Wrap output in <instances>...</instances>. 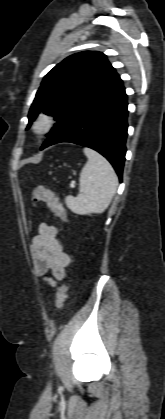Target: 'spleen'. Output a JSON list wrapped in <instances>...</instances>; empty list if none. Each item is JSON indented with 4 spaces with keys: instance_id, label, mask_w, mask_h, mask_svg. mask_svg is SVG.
Returning a JSON list of instances; mask_svg holds the SVG:
<instances>
[{
    "instance_id": "obj_1",
    "label": "spleen",
    "mask_w": 165,
    "mask_h": 419,
    "mask_svg": "<svg viewBox=\"0 0 165 419\" xmlns=\"http://www.w3.org/2000/svg\"><path fill=\"white\" fill-rule=\"evenodd\" d=\"M88 161L80 173L77 197L67 196V207L76 214L102 213L110 205L118 186L111 164L98 152L83 149Z\"/></svg>"
}]
</instances>
